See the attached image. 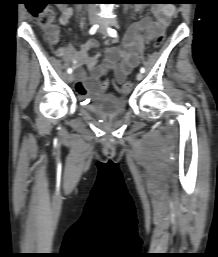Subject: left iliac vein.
<instances>
[{
    "mask_svg": "<svg viewBox=\"0 0 218 257\" xmlns=\"http://www.w3.org/2000/svg\"><path fill=\"white\" fill-rule=\"evenodd\" d=\"M100 27H99V33L103 36V37H107V30H106V27H105V23L100 19L98 21ZM137 80L140 81L142 80L143 78V74L142 72H139L136 76Z\"/></svg>",
    "mask_w": 218,
    "mask_h": 257,
    "instance_id": "left-iliac-vein-1",
    "label": "left iliac vein"
}]
</instances>
